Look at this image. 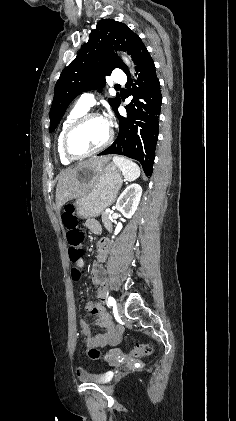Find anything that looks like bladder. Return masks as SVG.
I'll return each instance as SVG.
<instances>
[{
	"label": "bladder",
	"mask_w": 236,
	"mask_h": 421,
	"mask_svg": "<svg viewBox=\"0 0 236 421\" xmlns=\"http://www.w3.org/2000/svg\"><path fill=\"white\" fill-rule=\"evenodd\" d=\"M79 380L90 382V383H101L104 384L105 377L102 375L93 374L92 372L82 371L79 375Z\"/></svg>",
	"instance_id": "1"
}]
</instances>
